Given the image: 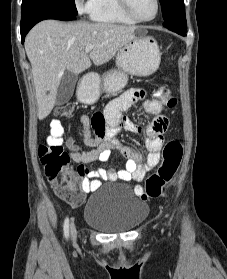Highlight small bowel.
Wrapping results in <instances>:
<instances>
[{"label":"small bowel","instance_id":"small-bowel-1","mask_svg":"<svg viewBox=\"0 0 227 279\" xmlns=\"http://www.w3.org/2000/svg\"><path fill=\"white\" fill-rule=\"evenodd\" d=\"M145 99V92L141 88H131L123 92L120 96L113 99L104 110L103 131L92 134L91 127H95L93 118L87 114L80 117L83 127V137L86 146L93 148L90 151L73 150L69 154L71 159L78 164L73 175L82 178L81 186L84 192L96 190L102 181H136L143 180L145 174L153 169L160 161V149L163 145L164 134L167 131L170 121L166 116L160 115L162 105L156 99L145 100L143 103L144 111L153 115V121L148 125L146 145L148 156L145 163H142L139 153L129 147L124 146L114 135L120 127L133 133L141 132V126L130 121L123 116L137 101ZM52 125V129H53ZM67 140V136L64 135ZM111 150L119 151L126 158V165L123 169L117 168H96L89 170L85 165L100 161L106 163L110 159ZM142 188L136 186L135 192L138 193Z\"/></svg>","mask_w":227,"mask_h":279}]
</instances>
